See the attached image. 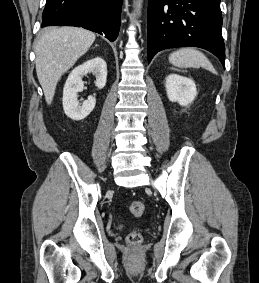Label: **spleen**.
<instances>
[{
	"label": "spleen",
	"mask_w": 259,
	"mask_h": 283,
	"mask_svg": "<svg viewBox=\"0 0 259 283\" xmlns=\"http://www.w3.org/2000/svg\"><path fill=\"white\" fill-rule=\"evenodd\" d=\"M169 62L179 68H204L217 74L211 62L200 51L193 48H181L169 56Z\"/></svg>",
	"instance_id": "obj_1"
}]
</instances>
